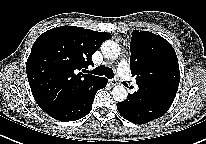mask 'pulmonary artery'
Masks as SVG:
<instances>
[{
    "label": "pulmonary artery",
    "mask_w": 206,
    "mask_h": 144,
    "mask_svg": "<svg viewBox=\"0 0 206 144\" xmlns=\"http://www.w3.org/2000/svg\"><path fill=\"white\" fill-rule=\"evenodd\" d=\"M119 76L127 80L130 78L128 64L125 60H122L118 67Z\"/></svg>",
    "instance_id": "e3ab8cb5"
}]
</instances>
